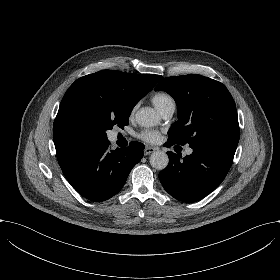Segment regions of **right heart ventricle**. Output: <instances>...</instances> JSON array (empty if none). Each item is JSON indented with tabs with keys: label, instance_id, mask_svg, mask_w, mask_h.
<instances>
[{
	"label": "right heart ventricle",
	"instance_id": "e07e8e85",
	"mask_svg": "<svg viewBox=\"0 0 280 280\" xmlns=\"http://www.w3.org/2000/svg\"><path fill=\"white\" fill-rule=\"evenodd\" d=\"M152 102L160 112L170 105H175L174 99L169 94L164 92L154 94L152 97Z\"/></svg>",
	"mask_w": 280,
	"mask_h": 280
}]
</instances>
